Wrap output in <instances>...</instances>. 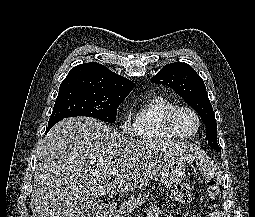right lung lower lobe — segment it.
Here are the masks:
<instances>
[{
    "label": "right lung lower lobe",
    "instance_id": "obj_1",
    "mask_svg": "<svg viewBox=\"0 0 255 217\" xmlns=\"http://www.w3.org/2000/svg\"><path fill=\"white\" fill-rule=\"evenodd\" d=\"M57 122H59V121H57ZM57 122L49 123L45 134H47V132L51 129V127H53Z\"/></svg>",
    "mask_w": 255,
    "mask_h": 217
}]
</instances>
